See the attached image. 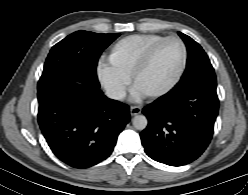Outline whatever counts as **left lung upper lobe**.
Returning a JSON list of instances; mask_svg holds the SVG:
<instances>
[{"mask_svg": "<svg viewBox=\"0 0 248 195\" xmlns=\"http://www.w3.org/2000/svg\"><path fill=\"white\" fill-rule=\"evenodd\" d=\"M186 44L188 59L186 70L177 84L181 89L206 83H216V76L210 60L202 47L189 36L178 32Z\"/></svg>", "mask_w": 248, "mask_h": 195, "instance_id": "5c2ea615", "label": "left lung upper lobe"}]
</instances>
